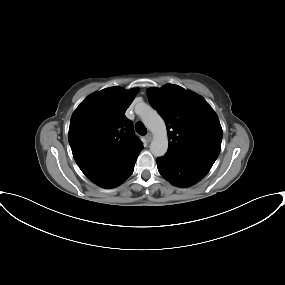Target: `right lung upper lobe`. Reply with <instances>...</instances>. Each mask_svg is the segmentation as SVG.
Segmentation results:
<instances>
[{
  "label": "right lung upper lobe",
  "mask_w": 285,
  "mask_h": 285,
  "mask_svg": "<svg viewBox=\"0 0 285 285\" xmlns=\"http://www.w3.org/2000/svg\"><path fill=\"white\" fill-rule=\"evenodd\" d=\"M137 89L110 87L86 97L74 111L69 144L82 172L98 184L129 162L143 149L134 136L125 111Z\"/></svg>",
  "instance_id": "obj_1"
}]
</instances>
